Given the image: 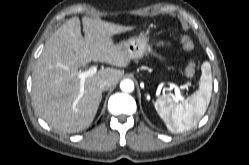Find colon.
<instances>
[{
  "label": "colon",
  "instance_id": "5ec220e1",
  "mask_svg": "<svg viewBox=\"0 0 249 165\" xmlns=\"http://www.w3.org/2000/svg\"><path fill=\"white\" fill-rule=\"evenodd\" d=\"M181 42L183 47L188 51H191L194 48L192 40L187 36H181ZM195 73H196L195 62L191 60L188 62L186 66L185 74L188 78H193L195 76Z\"/></svg>",
  "mask_w": 249,
  "mask_h": 165
}]
</instances>
